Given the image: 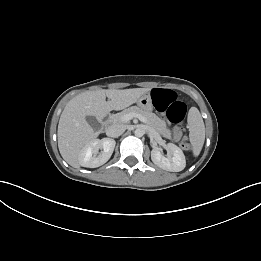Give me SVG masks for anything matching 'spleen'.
Listing matches in <instances>:
<instances>
[{
	"instance_id": "1",
	"label": "spleen",
	"mask_w": 261,
	"mask_h": 261,
	"mask_svg": "<svg viewBox=\"0 0 261 261\" xmlns=\"http://www.w3.org/2000/svg\"><path fill=\"white\" fill-rule=\"evenodd\" d=\"M188 122L190 125L189 138L193 149V155L197 157L204 144L205 126L201 114L196 108L191 109Z\"/></svg>"
}]
</instances>
